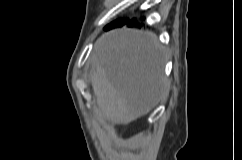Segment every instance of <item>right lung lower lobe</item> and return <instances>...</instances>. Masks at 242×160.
<instances>
[{
	"instance_id": "98d812e1",
	"label": "right lung lower lobe",
	"mask_w": 242,
	"mask_h": 160,
	"mask_svg": "<svg viewBox=\"0 0 242 160\" xmlns=\"http://www.w3.org/2000/svg\"><path fill=\"white\" fill-rule=\"evenodd\" d=\"M124 24H127L128 26H138V27L141 26L139 23L136 22L135 19H132V20L129 21V22H127L126 20H123V21H121V22H119V23H117V24H115V25H113V26H111V27H107V28H105V30H109V29L114 28V27L123 26Z\"/></svg>"
}]
</instances>
